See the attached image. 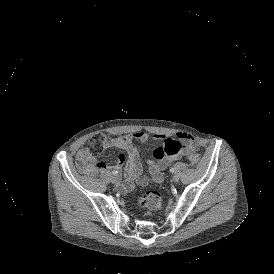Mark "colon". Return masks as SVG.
Masks as SVG:
<instances>
[{
	"label": "colon",
	"mask_w": 274,
	"mask_h": 274,
	"mask_svg": "<svg viewBox=\"0 0 274 274\" xmlns=\"http://www.w3.org/2000/svg\"><path fill=\"white\" fill-rule=\"evenodd\" d=\"M104 147V138L102 134H96L88 138L84 144L86 154L96 156L101 154ZM190 165L199 167L203 162V157L199 153L189 155ZM161 195L155 190H148L138 198V205L142 208L151 209L154 211L161 210Z\"/></svg>",
	"instance_id": "1"
}]
</instances>
